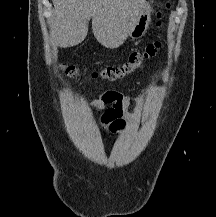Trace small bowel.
Wrapping results in <instances>:
<instances>
[{
	"label": "small bowel",
	"mask_w": 216,
	"mask_h": 217,
	"mask_svg": "<svg viewBox=\"0 0 216 217\" xmlns=\"http://www.w3.org/2000/svg\"><path fill=\"white\" fill-rule=\"evenodd\" d=\"M97 111H102L98 123L100 126L112 124L114 128L119 127L120 123L125 121L134 122L137 120L135 114L129 111L131 104L147 108L150 106V100L143 95L130 96L123 91L108 90L101 93L96 99L91 101ZM109 107L104 110V107Z\"/></svg>",
	"instance_id": "obj_1"
}]
</instances>
